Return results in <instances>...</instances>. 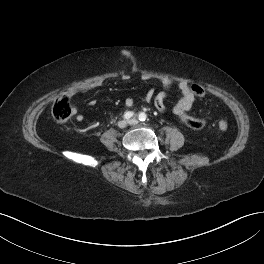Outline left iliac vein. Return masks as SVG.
I'll list each match as a JSON object with an SVG mask.
<instances>
[{
	"label": "left iliac vein",
	"instance_id": "1",
	"mask_svg": "<svg viewBox=\"0 0 264 264\" xmlns=\"http://www.w3.org/2000/svg\"><path fill=\"white\" fill-rule=\"evenodd\" d=\"M128 123L131 124V125H135V124L138 123V120H136V119H132V120H130Z\"/></svg>",
	"mask_w": 264,
	"mask_h": 264
}]
</instances>
